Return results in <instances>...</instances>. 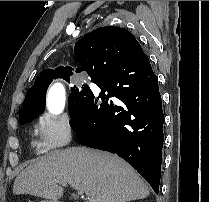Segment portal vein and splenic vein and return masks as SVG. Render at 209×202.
<instances>
[{
  "mask_svg": "<svg viewBox=\"0 0 209 202\" xmlns=\"http://www.w3.org/2000/svg\"><path fill=\"white\" fill-rule=\"evenodd\" d=\"M56 183H59L60 185L67 186V182L63 180H56ZM78 195H82L84 192L81 189H77L76 192Z\"/></svg>",
  "mask_w": 209,
  "mask_h": 202,
  "instance_id": "portal-vein-and-splenic-vein-1",
  "label": "portal vein and splenic vein"
}]
</instances>
